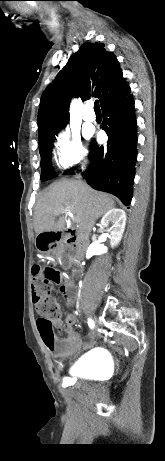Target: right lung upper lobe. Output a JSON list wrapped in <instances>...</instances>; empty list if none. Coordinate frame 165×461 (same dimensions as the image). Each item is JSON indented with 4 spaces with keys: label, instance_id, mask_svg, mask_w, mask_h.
<instances>
[{
    "label": "right lung upper lobe",
    "instance_id": "1",
    "mask_svg": "<svg viewBox=\"0 0 165 461\" xmlns=\"http://www.w3.org/2000/svg\"><path fill=\"white\" fill-rule=\"evenodd\" d=\"M129 93L116 56L102 43H85L42 94L37 117L39 139L60 127V114L67 120L72 97H98L103 110Z\"/></svg>",
    "mask_w": 165,
    "mask_h": 461
}]
</instances>
